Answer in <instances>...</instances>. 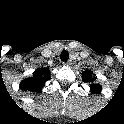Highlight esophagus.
<instances>
[{
    "label": "esophagus",
    "instance_id": "esophagus-1",
    "mask_svg": "<svg viewBox=\"0 0 124 124\" xmlns=\"http://www.w3.org/2000/svg\"><path fill=\"white\" fill-rule=\"evenodd\" d=\"M64 65L66 66H71L73 63L71 60L67 61V62H63Z\"/></svg>",
    "mask_w": 124,
    "mask_h": 124
}]
</instances>
